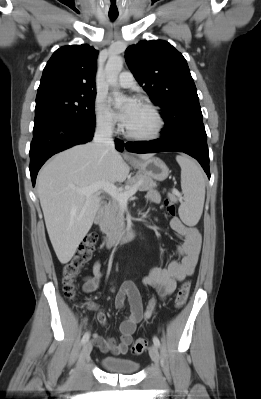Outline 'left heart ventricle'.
<instances>
[{"label":"left heart ventricle","instance_id":"obj_1","mask_svg":"<svg viewBox=\"0 0 261 399\" xmlns=\"http://www.w3.org/2000/svg\"><path fill=\"white\" fill-rule=\"evenodd\" d=\"M155 125L156 120L152 113L140 105L125 127L132 133L146 134L151 132L155 128Z\"/></svg>","mask_w":261,"mask_h":399}]
</instances>
